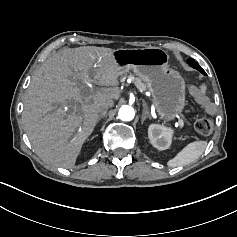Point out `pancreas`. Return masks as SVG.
Segmentation results:
<instances>
[{"instance_id": "1", "label": "pancreas", "mask_w": 237, "mask_h": 237, "mask_svg": "<svg viewBox=\"0 0 237 237\" xmlns=\"http://www.w3.org/2000/svg\"><path fill=\"white\" fill-rule=\"evenodd\" d=\"M128 77L132 80V82L135 84V86L137 87V89L139 91L142 92V91H145L147 89L146 84L143 83L140 78L134 77L133 75H129Z\"/></svg>"}]
</instances>
